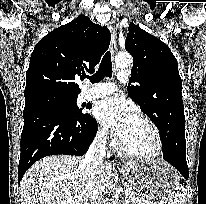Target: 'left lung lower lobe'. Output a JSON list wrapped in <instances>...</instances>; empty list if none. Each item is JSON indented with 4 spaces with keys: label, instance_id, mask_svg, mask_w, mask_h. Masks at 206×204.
I'll return each mask as SVG.
<instances>
[{
    "label": "left lung lower lobe",
    "instance_id": "1",
    "mask_svg": "<svg viewBox=\"0 0 206 204\" xmlns=\"http://www.w3.org/2000/svg\"><path fill=\"white\" fill-rule=\"evenodd\" d=\"M163 158L173 165L186 179L189 172L186 161L185 123H175L171 131L161 138Z\"/></svg>",
    "mask_w": 206,
    "mask_h": 204
}]
</instances>
